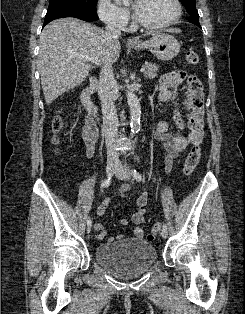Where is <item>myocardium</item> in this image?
<instances>
[{
  "label": "myocardium",
  "instance_id": "1",
  "mask_svg": "<svg viewBox=\"0 0 245 314\" xmlns=\"http://www.w3.org/2000/svg\"><path fill=\"white\" fill-rule=\"evenodd\" d=\"M174 4H175V8H176V12L173 18H171L168 21L165 22H157V23H149V22H145L143 20H141L138 15L136 14V12H133V22L135 26H139L142 28H146V29H158V28H164V27H168L171 26L175 23H177V21L181 18L182 16V5L180 0H173Z\"/></svg>",
  "mask_w": 245,
  "mask_h": 314
}]
</instances>
